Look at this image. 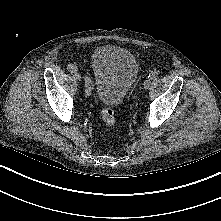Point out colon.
<instances>
[{"mask_svg": "<svg viewBox=\"0 0 221 221\" xmlns=\"http://www.w3.org/2000/svg\"><path fill=\"white\" fill-rule=\"evenodd\" d=\"M102 120L108 128H113L116 124L114 111L111 107L104 106L101 110Z\"/></svg>", "mask_w": 221, "mask_h": 221, "instance_id": "obj_1", "label": "colon"}]
</instances>
